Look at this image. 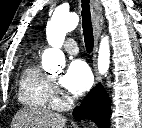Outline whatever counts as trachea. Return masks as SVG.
I'll list each match as a JSON object with an SVG mask.
<instances>
[{
  "mask_svg": "<svg viewBox=\"0 0 142 128\" xmlns=\"http://www.w3.org/2000/svg\"><path fill=\"white\" fill-rule=\"evenodd\" d=\"M82 2V28L86 50L91 53L94 45L93 29L91 23L89 0H81Z\"/></svg>",
  "mask_w": 142,
  "mask_h": 128,
  "instance_id": "3493384b",
  "label": "trachea"
}]
</instances>
